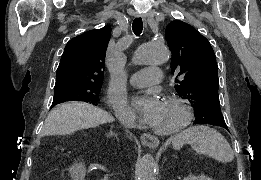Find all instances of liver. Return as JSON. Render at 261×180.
<instances>
[{
    "label": "liver",
    "mask_w": 261,
    "mask_h": 180,
    "mask_svg": "<svg viewBox=\"0 0 261 180\" xmlns=\"http://www.w3.org/2000/svg\"><path fill=\"white\" fill-rule=\"evenodd\" d=\"M113 122L105 110L84 104V102H67L53 108L44 126L45 134H74L78 130L96 128L100 124Z\"/></svg>",
    "instance_id": "obj_1"
}]
</instances>
